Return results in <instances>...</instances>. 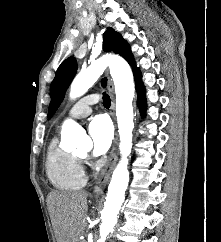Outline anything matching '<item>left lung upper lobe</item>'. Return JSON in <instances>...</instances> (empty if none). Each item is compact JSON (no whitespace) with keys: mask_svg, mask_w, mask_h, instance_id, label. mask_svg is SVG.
<instances>
[{"mask_svg":"<svg viewBox=\"0 0 221 242\" xmlns=\"http://www.w3.org/2000/svg\"><path fill=\"white\" fill-rule=\"evenodd\" d=\"M103 48L106 52L113 51L114 53H117L124 57L128 61V63L133 66V71L138 69L135 66V61L128 43L124 41L122 36L119 33L115 32L114 29L108 28V30L105 31ZM76 71L77 62L74 57H69L68 59L64 60L59 66L50 88L51 102L48 109L49 119L52 117V115L61 104L64 98V94L72 79L74 78ZM102 83L104 85L105 80H103Z\"/></svg>","mask_w":221,"mask_h":242,"instance_id":"5c2ea615","label":"left lung upper lobe"}]
</instances>
